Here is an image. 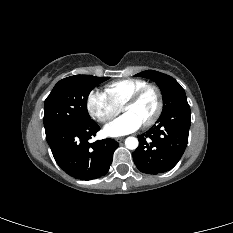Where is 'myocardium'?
<instances>
[{
    "mask_svg": "<svg viewBox=\"0 0 233 233\" xmlns=\"http://www.w3.org/2000/svg\"><path fill=\"white\" fill-rule=\"evenodd\" d=\"M149 90H152L156 93L158 104H157V109L155 113L153 114V116L142 124L143 127H150L153 124H155L162 114L164 104H163L162 92L159 87L155 85L147 84L139 88L127 98V100L123 103L121 107V110L124 111L126 107L136 103L142 97V95L145 94Z\"/></svg>",
    "mask_w": 233,
    "mask_h": 233,
    "instance_id": "myocardium-1",
    "label": "myocardium"
}]
</instances>
